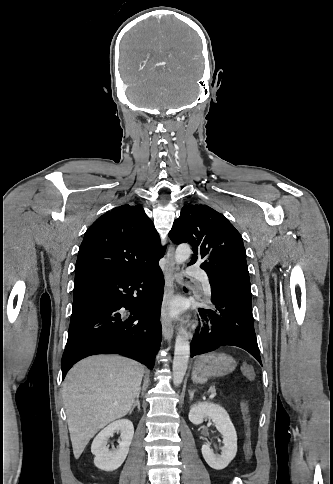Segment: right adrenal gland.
Listing matches in <instances>:
<instances>
[{
  "instance_id": "right-adrenal-gland-1",
  "label": "right adrenal gland",
  "mask_w": 333,
  "mask_h": 484,
  "mask_svg": "<svg viewBox=\"0 0 333 484\" xmlns=\"http://www.w3.org/2000/svg\"><path fill=\"white\" fill-rule=\"evenodd\" d=\"M139 396H140V391L138 392L137 396H136V401L134 402V404L132 405V408L130 410V414L133 412L135 406H137L138 410L140 411L141 410V407H140V401H139Z\"/></svg>"
}]
</instances>
